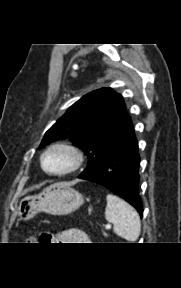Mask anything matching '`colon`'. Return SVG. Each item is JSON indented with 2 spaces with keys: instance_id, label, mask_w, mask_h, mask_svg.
Listing matches in <instances>:
<instances>
[{
  "instance_id": "1",
  "label": "colon",
  "mask_w": 181,
  "mask_h": 288,
  "mask_svg": "<svg viewBox=\"0 0 181 288\" xmlns=\"http://www.w3.org/2000/svg\"><path fill=\"white\" fill-rule=\"evenodd\" d=\"M46 239H47V236L46 235H42L40 238H39V241L40 242H46ZM29 242H36V238L35 237H30L29 238Z\"/></svg>"
}]
</instances>
